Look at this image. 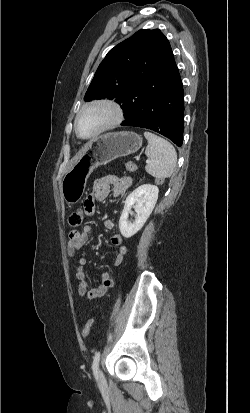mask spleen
<instances>
[{
	"instance_id": "3e777b00",
	"label": "spleen",
	"mask_w": 250,
	"mask_h": 413,
	"mask_svg": "<svg viewBox=\"0 0 250 413\" xmlns=\"http://www.w3.org/2000/svg\"><path fill=\"white\" fill-rule=\"evenodd\" d=\"M144 136L148 141L145 154L150 159L145 166L146 172L157 179L170 177L177 163L175 148L170 142L151 132L145 131Z\"/></svg>"
}]
</instances>
